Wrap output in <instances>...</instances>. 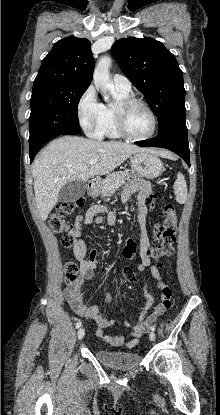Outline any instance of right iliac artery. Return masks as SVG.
I'll list each match as a JSON object with an SVG mask.
<instances>
[{
    "mask_svg": "<svg viewBox=\"0 0 220 415\" xmlns=\"http://www.w3.org/2000/svg\"><path fill=\"white\" fill-rule=\"evenodd\" d=\"M82 326V323L81 322H77L76 323V328L78 329V328H80Z\"/></svg>",
    "mask_w": 220,
    "mask_h": 415,
    "instance_id": "right-iliac-artery-1",
    "label": "right iliac artery"
}]
</instances>
